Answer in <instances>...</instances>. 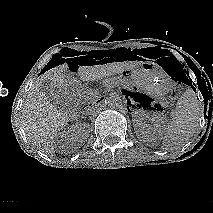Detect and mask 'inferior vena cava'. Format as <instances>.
<instances>
[{"mask_svg":"<svg viewBox=\"0 0 213 213\" xmlns=\"http://www.w3.org/2000/svg\"><path fill=\"white\" fill-rule=\"evenodd\" d=\"M93 113V109L92 108H87L86 111H85V114H91Z\"/></svg>","mask_w":213,"mask_h":213,"instance_id":"602c4592","label":"inferior vena cava"}]
</instances>
